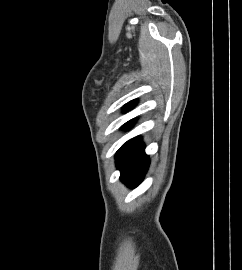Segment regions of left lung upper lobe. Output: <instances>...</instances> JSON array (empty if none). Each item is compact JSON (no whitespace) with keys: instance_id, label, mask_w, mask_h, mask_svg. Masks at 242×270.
Masks as SVG:
<instances>
[{"instance_id":"1","label":"left lung upper lobe","mask_w":242,"mask_h":270,"mask_svg":"<svg viewBox=\"0 0 242 270\" xmlns=\"http://www.w3.org/2000/svg\"><path fill=\"white\" fill-rule=\"evenodd\" d=\"M135 106V101H130L129 103H127L125 106H124V109L125 110H129L131 107H134Z\"/></svg>"}]
</instances>
